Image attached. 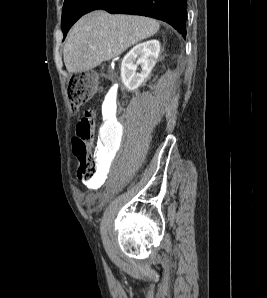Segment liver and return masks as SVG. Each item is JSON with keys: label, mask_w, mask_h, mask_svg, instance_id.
I'll use <instances>...</instances> for the list:
<instances>
[{"label": "liver", "mask_w": 267, "mask_h": 298, "mask_svg": "<svg viewBox=\"0 0 267 298\" xmlns=\"http://www.w3.org/2000/svg\"><path fill=\"white\" fill-rule=\"evenodd\" d=\"M159 27V22L143 16L90 12L70 30L64 46L66 69L69 73L92 70L153 36Z\"/></svg>", "instance_id": "1"}]
</instances>
